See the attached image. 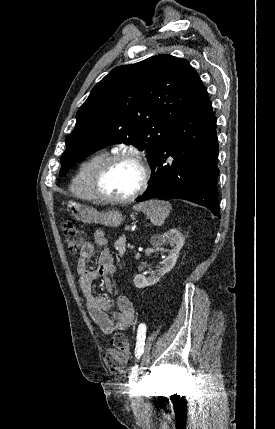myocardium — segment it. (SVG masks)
I'll return each mask as SVG.
<instances>
[{"label":"myocardium","mask_w":275,"mask_h":429,"mask_svg":"<svg viewBox=\"0 0 275 429\" xmlns=\"http://www.w3.org/2000/svg\"><path fill=\"white\" fill-rule=\"evenodd\" d=\"M131 160L138 164L141 170V180L137 189L126 197H112L105 193L103 189V180L109 168L117 161ZM150 177V170L146 160L139 154L133 151H122L108 155L96 168L91 182V187L94 196L97 200L111 203V204H124L134 201L138 198L147 188Z\"/></svg>","instance_id":"myocardium-1"}]
</instances>
